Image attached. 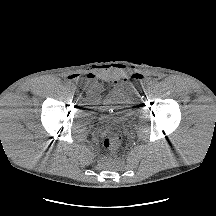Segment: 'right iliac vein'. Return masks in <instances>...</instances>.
<instances>
[{
  "label": "right iliac vein",
  "instance_id": "obj_1",
  "mask_svg": "<svg viewBox=\"0 0 216 216\" xmlns=\"http://www.w3.org/2000/svg\"><path fill=\"white\" fill-rule=\"evenodd\" d=\"M71 93H72V94H76V93H77V90H76V89H73V90L71 91Z\"/></svg>",
  "mask_w": 216,
  "mask_h": 216
}]
</instances>
